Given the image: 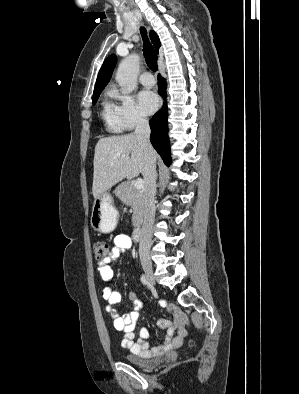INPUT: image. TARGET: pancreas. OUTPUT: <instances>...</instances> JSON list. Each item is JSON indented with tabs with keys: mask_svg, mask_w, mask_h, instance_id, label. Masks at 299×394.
I'll use <instances>...</instances> for the list:
<instances>
[{
	"mask_svg": "<svg viewBox=\"0 0 299 394\" xmlns=\"http://www.w3.org/2000/svg\"><path fill=\"white\" fill-rule=\"evenodd\" d=\"M115 192L126 205L132 207V224L134 227L139 226L144 210V192L136 190L130 181L121 183Z\"/></svg>",
	"mask_w": 299,
	"mask_h": 394,
	"instance_id": "obj_1",
	"label": "pancreas"
}]
</instances>
